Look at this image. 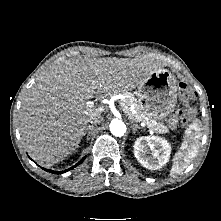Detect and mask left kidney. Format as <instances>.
I'll list each match as a JSON object with an SVG mask.
<instances>
[{
    "instance_id": "left-kidney-1",
    "label": "left kidney",
    "mask_w": 221,
    "mask_h": 221,
    "mask_svg": "<svg viewBox=\"0 0 221 221\" xmlns=\"http://www.w3.org/2000/svg\"><path fill=\"white\" fill-rule=\"evenodd\" d=\"M171 153L167 140L157 136L139 137L134 143L137 161L147 169L157 170L164 166Z\"/></svg>"
}]
</instances>
